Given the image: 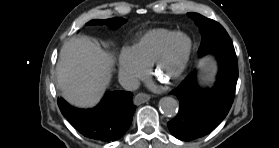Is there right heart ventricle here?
Listing matches in <instances>:
<instances>
[{
    "instance_id": "right-heart-ventricle-1",
    "label": "right heart ventricle",
    "mask_w": 279,
    "mask_h": 148,
    "mask_svg": "<svg viewBox=\"0 0 279 148\" xmlns=\"http://www.w3.org/2000/svg\"><path fill=\"white\" fill-rule=\"evenodd\" d=\"M174 33V31L167 29L148 31L138 39L132 50L145 66L150 67Z\"/></svg>"
}]
</instances>
